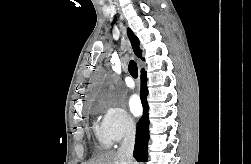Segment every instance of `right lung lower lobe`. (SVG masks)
I'll list each match as a JSON object with an SVG mask.
<instances>
[{"label": "right lung lower lobe", "instance_id": "right-lung-lower-lobe-1", "mask_svg": "<svg viewBox=\"0 0 251 164\" xmlns=\"http://www.w3.org/2000/svg\"><path fill=\"white\" fill-rule=\"evenodd\" d=\"M146 72L144 70L141 71V99L144 107L143 116L140 118L137 123L136 130V140L133 156L138 162H147V146L149 140V119H148V104L146 100V96L148 94V89L146 86Z\"/></svg>", "mask_w": 251, "mask_h": 164}]
</instances>
